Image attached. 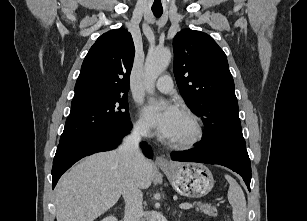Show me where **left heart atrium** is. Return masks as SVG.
I'll list each match as a JSON object with an SVG mask.
<instances>
[{"mask_svg":"<svg viewBox=\"0 0 307 221\" xmlns=\"http://www.w3.org/2000/svg\"><path fill=\"white\" fill-rule=\"evenodd\" d=\"M144 115L147 121L163 137L171 139L175 134L183 113L175 105H166L161 101H152L144 108Z\"/></svg>","mask_w":307,"mask_h":221,"instance_id":"39dd6f15","label":"left heart atrium"}]
</instances>
